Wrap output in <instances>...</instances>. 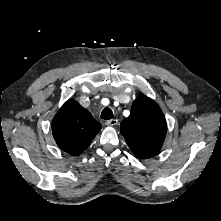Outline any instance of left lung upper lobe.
<instances>
[{
  "label": "left lung upper lobe",
  "instance_id": "obj_1",
  "mask_svg": "<svg viewBox=\"0 0 221 221\" xmlns=\"http://www.w3.org/2000/svg\"><path fill=\"white\" fill-rule=\"evenodd\" d=\"M120 128L127 145L142 159L154 156L161 149L167 132L160 107L145 95L135 99L129 117L121 122Z\"/></svg>",
  "mask_w": 221,
  "mask_h": 221
}]
</instances>
